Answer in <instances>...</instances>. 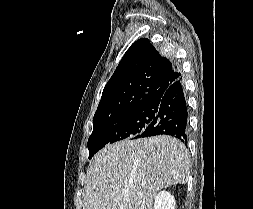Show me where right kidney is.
<instances>
[{
  "label": "right kidney",
  "mask_w": 253,
  "mask_h": 209,
  "mask_svg": "<svg viewBox=\"0 0 253 209\" xmlns=\"http://www.w3.org/2000/svg\"><path fill=\"white\" fill-rule=\"evenodd\" d=\"M153 209H175L174 196L169 192L161 191L155 197V203Z\"/></svg>",
  "instance_id": "1"
}]
</instances>
